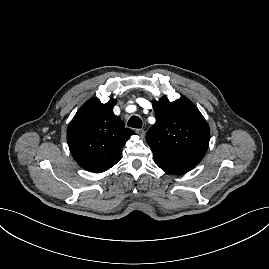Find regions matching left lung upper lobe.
Masks as SVG:
<instances>
[{
    "mask_svg": "<svg viewBox=\"0 0 269 269\" xmlns=\"http://www.w3.org/2000/svg\"><path fill=\"white\" fill-rule=\"evenodd\" d=\"M156 123L148 130L146 141L159 164L197 165L210 140L207 122L186 97L170 102L162 97L153 101Z\"/></svg>",
    "mask_w": 269,
    "mask_h": 269,
    "instance_id": "obj_1",
    "label": "left lung upper lobe"
}]
</instances>
